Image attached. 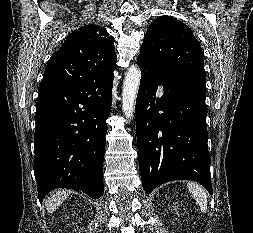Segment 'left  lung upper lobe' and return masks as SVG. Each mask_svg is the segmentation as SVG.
Listing matches in <instances>:
<instances>
[{
	"label": "left lung upper lobe",
	"instance_id": "1",
	"mask_svg": "<svg viewBox=\"0 0 253 233\" xmlns=\"http://www.w3.org/2000/svg\"><path fill=\"white\" fill-rule=\"evenodd\" d=\"M140 55L164 79L206 81L203 52L189 27L171 16H160L149 26Z\"/></svg>",
	"mask_w": 253,
	"mask_h": 233
}]
</instances>
